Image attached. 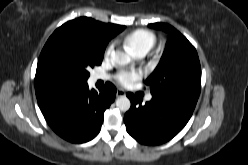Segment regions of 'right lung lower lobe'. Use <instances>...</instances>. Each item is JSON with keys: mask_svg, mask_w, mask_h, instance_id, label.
I'll use <instances>...</instances> for the list:
<instances>
[{"mask_svg": "<svg viewBox=\"0 0 248 165\" xmlns=\"http://www.w3.org/2000/svg\"><path fill=\"white\" fill-rule=\"evenodd\" d=\"M116 95L115 86L107 82L98 93L88 85L75 91L55 93L38 100L49 126L62 138L73 143L93 139L101 129L104 111Z\"/></svg>", "mask_w": 248, "mask_h": 165, "instance_id": "right-lung-lower-lobe-1", "label": "right lung lower lobe"}]
</instances>
